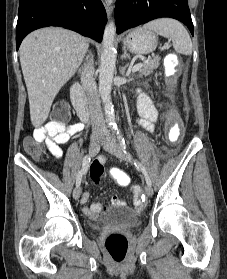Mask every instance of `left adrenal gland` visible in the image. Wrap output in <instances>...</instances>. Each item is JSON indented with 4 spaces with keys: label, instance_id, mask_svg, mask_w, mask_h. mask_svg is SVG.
Wrapping results in <instances>:
<instances>
[{
    "label": "left adrenal gland",
    "instance_id": "left-adrenal-gland-1",
    "mask_svg": "<svg viewBox=\"0 0 227 279\" xmlns=\"http://www.w3.org/2000/svg\"><path fill=\"white\" fill-rule=\"evenodd\" d=\"M123 51H124V53L122 54L121 59L122 60L123 59H129L130 60V55L127 53V50L124 48ZM128 66H129V63H127L125 66L120 68L121 75H123V76L125 75L126 69L128 68Z\"/></svg>",
    "mask_w": 227,
    "mask_h": 279
}]
</instances>
